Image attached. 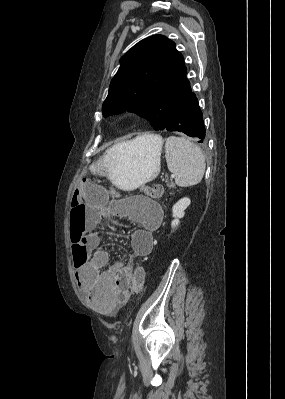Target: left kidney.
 I'll use <instances>...</instances> for the list:
<instances>
[{"label": "left kidney", "instance_id": "5707ae66", "mask_svg": "<svg viewBox=\"0 0 285 399\" xmlns=\"http://www.w3.org/2000/svg\"><path fill=\"white\" fill-rule=\"evenodd\" d=\"M191 201L189 198L184 197L182 199H180L176 204H174L173 208H172V212H173V217L174 220L171 223L172 228H176L180 221V218L184 217V211L185 209L190 205Z\"/></svg>", "mask_w": 285, "mask_h": 399}]
</instances>
